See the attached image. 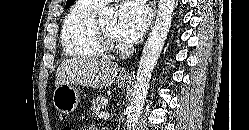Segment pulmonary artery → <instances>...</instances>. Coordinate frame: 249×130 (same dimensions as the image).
Listing matches in <instances>:
<instances>
[{"mask_svg":"<svg viewBox=\"0 0 249 130\" xmlns=\"http://www.w3.org/2000/svg\"><path fill=\"white\" fill-rule=\"evenodd\" d=\"M94 1L95 3L99 4V5H103V4H106L108 2H111L113 0H92Z\"/></svg>","mask_w":249,"mask_h":130,"instance_id":"1","label":"pulmonary artery"}]
</instances>
